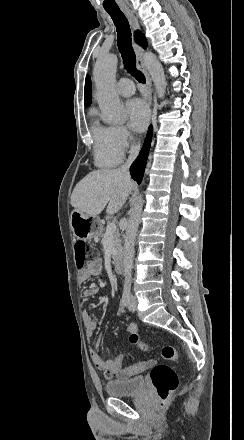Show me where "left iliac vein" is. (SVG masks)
Returning a JSON list of instances; mask_svg holds the SVG:
<instances>
[{
  "label": "left iliac vein",
  "mask_w": 244,
  "mask_h": 440,
  "mask_svg": "<svg viewBox=\"0 0 244 440\" xmlns=\"http://www.w3.org/2000/svg\"><path fill=\"white\" fill-rule=\"evenodd\" d=\"M128 309L130 311H135L137 309V299L135 296L131 295L129 299Z\"/></svg>",
  "instance_id": "4c4485c4"
}]
</instances>
